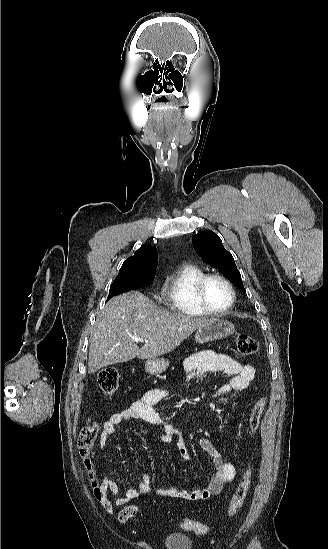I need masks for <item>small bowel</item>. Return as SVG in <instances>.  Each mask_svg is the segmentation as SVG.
I'll list each match as a JSON object with an SVG mask.
<instances>
[{
    "label": "small bowel",
    "mask_w": 328,
    "mask_h": 549,
    "mask_svg": "<svg viewBox=\"0 0 328 549\" xmlns=\"http://www.w3.org/2000/svg\"><path fill=\"white\" fill-rule=\"evenodd\" d=\"M184 368L187 379L214 372H223L229 375L230 380L217 391L215 397L224 396L231 392H241L250 385L255 377V368L252 365L240 363L228 355L211 350L201 351L189 356L184 361ZM166 396V389L153 388L145 392L141 398L134 401L128 408L113 413L102 426L100 446L104 447L106 445L108 440L115 434L119 424L130 420H139L160 427L159 438L163 442L169 443L176 438V447L181 458L186 462L191 461L190 453L180 438L179 429L169 422L167 409L165 407H156ZM198 443L200 448L209 454L213 460L214 472L208 484L195 490L159 486L157 488L159 494L186 501L206 500L219 494L227 483L234 480L236 475L234 465L225 462L208 439L201 438ZM153 484V476L149 473H143L136 488H127L120 492L115 478L106 475L99 485L100 504L106 512L112 513L114 507L125 506L140 495L150 493Z\"/></svg>",
    "instance_id": "1"
}]
</instances>
